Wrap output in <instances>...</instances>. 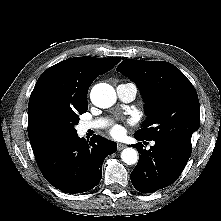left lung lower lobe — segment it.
Returning <instances> with one entry per match:
<instances>
[{
    "label": "left lung lower lobe",
    "instance_id": "1",
    "mask_svg": "<svg viewBox=\"0 0 221 221\" xmlns=\"http://www.w3.org/2000/svg\"><path fill=\"white\" fill-rule=\"evenodd\" d=\"M139 141L146 140L135 136ZM150 141V140H148ZM155 145L147 151L135 144L139 161L131 173V181L135 189L142 193H152L171 185L182 173L191 151L162 139H154Z\"/></svg>",
    "mask_w": 221,
    "mask_h": 221
}]
</instances>
